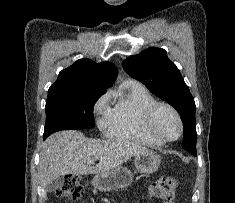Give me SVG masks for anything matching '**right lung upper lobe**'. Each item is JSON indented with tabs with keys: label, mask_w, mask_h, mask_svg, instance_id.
<instances>
[{
	"label": "right lung upper lobe",
	"mask_w": 235,
	"mask_h": 203,
	"mask_svg": "<svg viewBox=\"0 0 235 203\" xmlns=\"http://www.w3.org/2000/svg\"><path fill=\"white\" fill-rule=\"evenodd\" d=\"M117 73L112 63H96L83 58L60 71L58 79L49 89L84 87L106 91L114 83Z\"/></svg>",
	"instance_id": "cb5924a9"
}]
</instances>
